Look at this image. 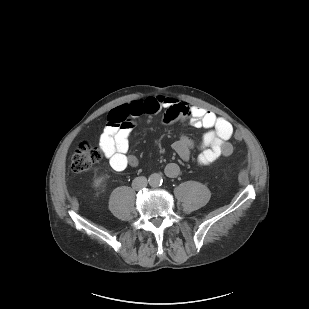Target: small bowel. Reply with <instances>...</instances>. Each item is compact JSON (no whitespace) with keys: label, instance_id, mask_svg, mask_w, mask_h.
<instances>
[{"label":"small bowel","instance_id":"1","mask_svg":"<svg viewBox=\"0 0 309 309\" xmlns=\"http://www.w3.org/2000/svg\"><path fill=\"white\" fill-rule=\"evenodd\" d=\"M165 110V121L185 120L195 128H204L206 133L201 141V152L197 162L207 166L219 157H228L233 152L230 139L233 136L232 125L222 117L199 106L179 102L169 96H153L142 100H134L128 104L115 107L104 127L99 139V146L109 162L110 167L117 172L127 167H136L138 160L128 154L129 137L132 130V118L141 115H153ZM194 143L191 138L181 135L173 147L183 161H188ZM180 173V167L170 163L165 168V174L175 178Z\"/></svg>","mask_w":309,"mask_h":309}]
</instances>
